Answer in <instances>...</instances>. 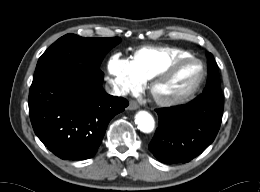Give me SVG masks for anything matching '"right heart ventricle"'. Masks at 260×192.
I'll return each instance as SVG.
<instances>
[{"mask_svg": "<svg viewBox=\"0 0 260 192\" xmlns=\"http://www.w3.org/2000/svg\"><path fill=\"white\" fill-rule=\"evenodd\" d=\"M187 57L188 52L176 48L144 47L135 53L132 64L142 80H149L173 62Z\"/></svg>", "mask_w": 260, "mask_h": 192, "instance_id": "obj_1", "label": "right heart ventricle"}]
</instances>
